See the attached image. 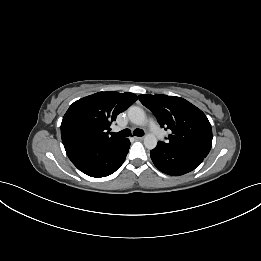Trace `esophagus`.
<instances>
[{
  "label": "esophagus",
  "mask_w": 261,
  "mask_h": 261,
  "mask_svg": "<svg viewBox=\"0 0 261 261\" xmlns=\"http://www.w3.org/2000/svg\"><path fill=\"white\" fill-rule=\"evenodd\" d=\"M133 138H134L136 141H142V140H143V137L134 136Z\"/></svg>",
  "instance_id": "esophagus-1"
}]
</instances>
